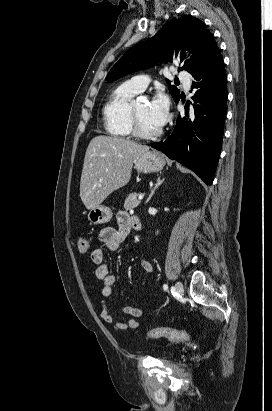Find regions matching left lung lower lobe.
I'll return each instance as SVG.
<instances>
[{
    "label": "left lung lower lobe",
    "instance_id": "obj_1",
    "mask_svg": "<svg viewBox=\"0 0 272 411\" xmlns=\"http://www.w3.org/2000/svg\"><path fill=\"white\" fill-rule=\"evenodd\" d=\"M193 82L197 88L193 106L179 115L173 133L152 143L170 159L193 170L206 184H212L218 164L226 117V72L219 48L213 53ZM180 98L176 101L178 102Z\"/></svg>",
    "mask_w": 272,
    "mask_h": 411
}]
</instances>
